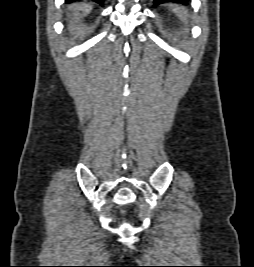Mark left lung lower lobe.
Listing matches in <instances>:
<instances>
[{
	"mask_svg": "<svg viewBox=\"0 0 254 267\" xmlns=\"http://www.w3.org/2000/svg\"><path fill=\"white\" fill-rule=\"evenodd\" d=\"M189 0H154V5H159L165 2H179V3H187Z\"/></svg>",
	"mask_w": 254,
	"mask_h": 267,
	"instance_id": "obj_1",
	"label": "left lung lower lobe"
}]
</instances>
